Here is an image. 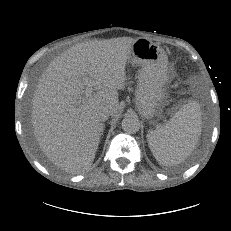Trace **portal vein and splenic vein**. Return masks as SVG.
<instances>
[{"mask_svg":"<svg viewBox=\"0 0 231 231\" xmlns=\"http://www.w3.org/2000/svg\"><path fill=\"white\" fill-rule=\"evenodd\" d=\"M83 80H84V83L86 85L85 95L89 96L92 94V91H93L92 82L87 77H84Z\"/></svg>","mask_w":231,"mask_h":231,"instance_id":"18ae733b","label":"portal vein and splenic vein"}]
</instances>
